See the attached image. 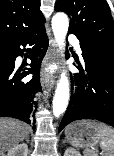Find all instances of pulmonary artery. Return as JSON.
I'll return each instance as SVG.
<instances>
[{
	"mask_svg": "<svg viewBox=\"0 0 114 156\" xmlns=\"http://www.w3.org/2000/svg\"><path fill=\"white\" fill-rule=\"evenodd\" d=\"M70 42L73 44L74 48L78 51L81 52L80 48V42L75 36H70L69 37Z\"/></svg>",
	"mask_w": 114,
	"mask_h": 156,
	"instance_id": "e3ab8cb5",
	"label": "pulmonary artery"
}]
</instances>
